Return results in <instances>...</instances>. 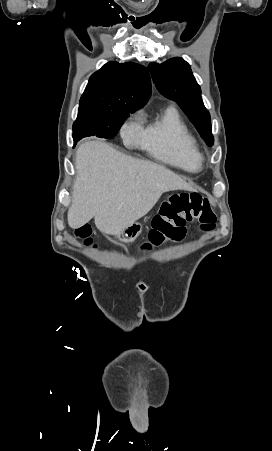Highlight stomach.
Listing matches in <instances>:
<instances>
[{
	"label": "stomach",
	"instance_id": "1",
	"mask_svg": "<svg viewBox=\"0 0 272 451\" xmlns=\"http://www.w3.org/2000/svg\"><path fill=\"white\" fill-rule=\"evenodd\" d=\"M142 227V224H139V222H133L130 226L124 227V229H121V231L115 233V237H117L119 241L129 243V241H134V239L140 235Z\"/></svg>",
	"mask_w": 272,
	"mask_h": 451
}]
</instances>
